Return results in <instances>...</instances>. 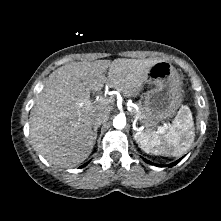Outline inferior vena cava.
Here are the masks:
<instances>
[{
    "mask_svg": "<svg viewBox=\"0 0 221 221\" xmlns=\"http://www.w3.org/2000/svg\"><path fill=\"white\" fill-rule=\"evenodd\" d=\"M107 120H108V115L102 111H97L92 116V122H93L94 127L96 125H101L102 123L106 122Z\"/></svg>",
    "mask_w": 221,
    "mask_h": 221,
    "instance_id": "602c4592",
    "label": "inferior vena cava"
}]
</instances>
